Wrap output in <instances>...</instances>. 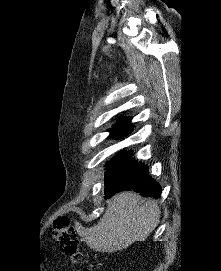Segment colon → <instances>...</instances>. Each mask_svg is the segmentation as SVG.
Segmentation results:
<instances>
[{"label": "colon", "instance_id": "obj_1", "mask_svg": "<svg viewBox=\"0 0 221 271\" xmlns=\"http://www.w3.org/2000/svg\"><path fill=\"white\" fill-rule=\"evenodd\" d=\"M53 237L65 256L74 260H79L82 257V252L80 251L81 242L70 216L62 215L56 219ZM82 270L92 271V267L86 266Z\"/></svg>", "mask_w": 221, "mask_h": 271}]
</instances>
